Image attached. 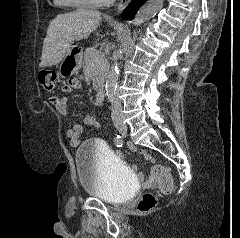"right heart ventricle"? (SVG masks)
I'll use <instances>...</instances> for the list:
<instances>
[{
    "mask_svg": "<svg viewBox=\"0 0 240 238\" xmlns=\"http://www.w3.org/2000/svg\"><path fill=\"white\" fill-rule=\"evenodd\" d=\"M54 3L62 8H77V7H82L77 4L72 3L70 0H53Z\"/></svg>",
    "mask_w": 240,
    "mask_h": 238,
    "instance_id": "obj_1",
    "label": "right heart ventricle"
}]
</instances>
